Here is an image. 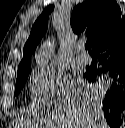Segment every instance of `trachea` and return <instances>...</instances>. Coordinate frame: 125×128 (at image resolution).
Here are the masks:
<instances>
[{
	"mask_svg": "<svg viewBox=\"0 0 125 128\" xmlns=\"http://www.w3.org/2000/svg\"><path fill=\"white\" fill-rule=\"evenodd\" d=\"M90 43L89 42H86L85 44V49L88 50L89 52H91V49H90Z\"/></svg>",
	"mask_w": 125,
	"mask_h": 128,
	"instance_id": "trachea-1",
	"label": "trachea"
}]
</instances>
